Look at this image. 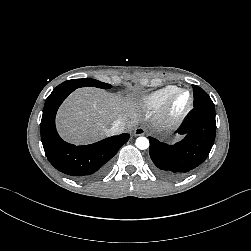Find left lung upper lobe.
Returning <instances> with one entry per match:
<instances>
[{"instance_id":"left-lung-upper-lobe-1","label":"left lung upper lobe","mask_w":251,"mask_h":251,"mask_svg":"<svg viewBox=\"0 0 251 251\" xmlns=\"http://www.w3.org/2000/svg\"><path fill=\"white\" fill-rule=\"evenodd\" d=\"M194 107H206L215 109L212 100L209 95L200 87L194 85Z\"/></svg>"}]
</instances>
